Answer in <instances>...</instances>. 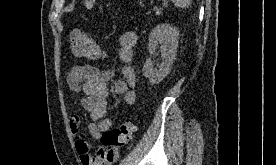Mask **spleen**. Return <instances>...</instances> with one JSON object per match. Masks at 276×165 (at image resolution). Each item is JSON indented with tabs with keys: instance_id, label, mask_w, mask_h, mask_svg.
Segmentation results:
<instances>
[{
	"instance_id": "spleen-1",
	"label": "spleen",
	"mask_w": 276,
	"mask_h": 165,
	"mask_svg": "<svg viewBox=\"0 0 276 165\" xmlns=\"http://www.w3.org/2000/svg\"><path fill=\"white\" fill-rule=\"evenodd\" d=\"M176 7L188 8L192 0H171Z\"/></svg>"
}]
</instances>
